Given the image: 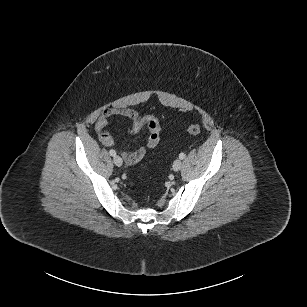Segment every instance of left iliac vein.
<instances>
[{"label":"left iliac vein","mask_w":307,"mask_h":307,"mask_svg":"<svg viewBox=\"0 0 307 307\" xmlns=\"http://www.w3.org/2000/svg\"><path fill=\"white\" fill-rule=\"evenodd\" d=\"M181 166H182V161L180 159H176L174 162H173V170L174 171H179L181 169Z\"/></svg>","instance_id":"left-iliac-vein-1"}]
</instances>
